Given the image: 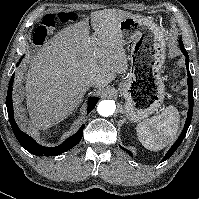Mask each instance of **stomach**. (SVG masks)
Instances as JSON below:
<instances>
[{"mask_svg": "<svg viewBox=\"0 0 199 199\" xmlns=\"http://www.w3.org/2000/svg\"><path fill=\"white\" fill-rule=\"evenodd\" d=\"M123 45H131L130 72L119 85L125 98L124 111L133 122H141L158 111L165 98V33L152 20L128 15L119 23Z\"/></svg>", "mask_w": 199, "mask_h": 199, "instance_id": "1", "label": "stomach"}]
</instances>
